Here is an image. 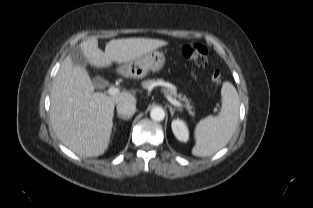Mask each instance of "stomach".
Here are the masks:
<instances>
[{
	"instance_id": "0dacf381",
	"label": "stomach",
	"mask_w": 313,
	"mask_h": 208,
	"mask_svg": "<svg viewBox=\"0 0 313 208\" xmlns=\"http://www.w3.org/2000/svg\"><path fill=\"white\" fill-rule=\"evenodd\" d=\"M165 65V56L154 50L144 57L136 59L119 67L118 72L125 77L143 78L149 71L159 72Z\"/></svg>"
}]
</instances>
